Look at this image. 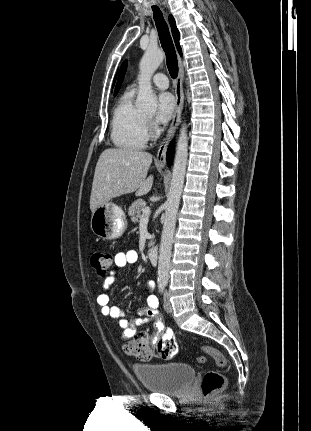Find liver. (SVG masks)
<instances>
[{
  "mask_svg": "<svg viewBox=\"0 0 311 431\" xmlns=\"http://www.w3.org/2000/svg\"><path fill=\"white\" fill-rule=\"evenodd\" d=\"M152 156L139 148H109L102 152L95 168L90 210L124 194L146 196L152 190L154 176H148Z\"/></svg>",
  "mask_w": 311,
  "mask_h": 431,
  "instance_id": "liver-1",
  "label": "liver"
}]
</instances>
